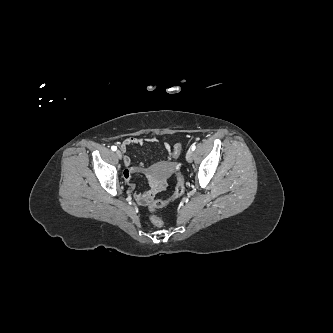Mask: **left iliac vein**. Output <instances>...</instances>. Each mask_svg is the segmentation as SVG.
<instances>
[{
  "instance_id": "1",
  "label": "left iliac vein",
  "mask_w": 333,
  "mask_h": 333,
  "mask_svg": "<svg viewBox=\"0 0 333 333\" xmlns=\"http://www.w3.org/2000/svg\"><path fill=\"white\" fill-rule=\"evenodd\" d=\"M186 160L188 162H192V160H193V151H192V149H189L187 151V153H186Z\"/></svg>"
}]
</instances>
